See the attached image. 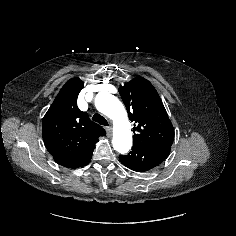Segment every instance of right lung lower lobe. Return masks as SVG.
<instances>
[{"label":"right lung lower lobe","instance_id":"obj_1","mask_svg":"<svg viewBox=\"0 0 236 236\" xmlns=\"http://www.w3.org/2000/svg\"><path fill=\"white\" fill-rule=\"evenodd\" d=\"M92 153L93 151L88 153L86 156L79 159L78 161H75L74 163H72L70 166H68V168H79V167L85 166L90 161L92 157Z\"/></svg>","mask_w":236,"mask_h":236}]
</instances>
